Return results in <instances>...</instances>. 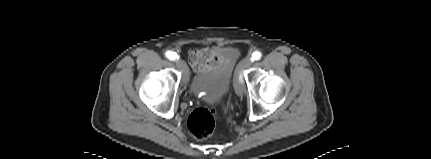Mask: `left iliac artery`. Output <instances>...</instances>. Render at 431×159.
I'll use <instances>...</instances> for the list:
<instances>
[{
	"instance_id": "1",
	"label": "left iliac artery",
	"mask_w": 431,
	"mask_h": 159,
	"mask_svg": "<svg viewBox=\"0 0 431 159\" xmlns=\"http://www.w3.org/2000/svg\"><path fill=\"white\" fill-rule=\"evenodd\" d=\"M261 58V53L259 52V51H255V52H253V54H252V61L253 60H259Z\"/></svg>"
}]
</instances>
